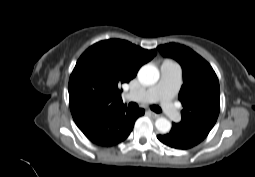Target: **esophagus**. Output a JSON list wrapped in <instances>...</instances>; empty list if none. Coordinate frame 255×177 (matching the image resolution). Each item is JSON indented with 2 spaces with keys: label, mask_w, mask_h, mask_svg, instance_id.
I'll return each instance as SVG.
<instances>
[{
  "label": "esophagus",
  "mask_w": 255,
  "mask_h": 177,
  "mask_svg": "<svg viewBox=\"0 0 255 177\" xmlns=\"http://www.w3.org/2000/svg\"><path fill=\"white\" fill-rule=\"evenodd\" d=\"M147 112L153 117V118H158L160 115L151 111V110H147Z\"/></svg>",
  "instance_id": "obj_1"
}]
</instances>
